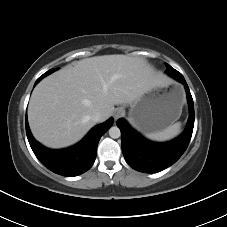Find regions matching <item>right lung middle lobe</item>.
Masks as SVG:
<instances>
[{"mask_svg":"<svg viewBox=\"0 0 227 227\" xmlns=\"http://www.w3.org/2000/svg\"><path fill=\"white\" fill-rule=\"evenodd\" d=\"M55 70H56V69H51V70L47 71L46 73H44V74L42 75V77H45V76L51 74V73L54 72Z\"/></svg>","mask_w":227,"mask_h":227,"instance_id":"dd1d6c3e","label":"right lung middle lobe"}]
</instances>
